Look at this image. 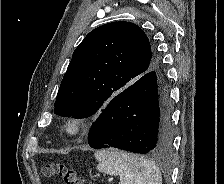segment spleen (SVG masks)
<instances>
[{
	"mask_svg": "<svg viewBox=\"0 0 224 184\" xmlns=\"http://www.w3.org/2000/svg\"><path fill=\"white\" fill-rule=\"evenodd\" d=\"M94 156L98 171L119 175V184H162L159 168L144 157L116 149L96 151Z\"/></svg>",
	"mask_w": 224,
	"mask_h": 184,
	"instance_id": "obj_1",
	"label": "spleen"
}]
</instances>
